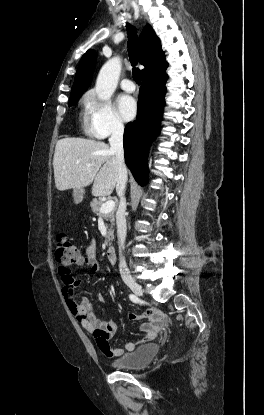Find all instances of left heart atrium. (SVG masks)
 <instances>
[{
  "label": "left heart atrium",
  "instance_id": "39dd6f15",
  "mask_svg": "<svg viewBox=\"0 0 264 415\" xmlns=\"http://www.w3.org/2000/svg\"><path fill=\"white\" fill-rule=\"evenodd\" d=\"M117 107L121 117L129 121L134 118L136 114V102L128 95H121L117 100Z\"/></svg>",
  "mask_w": 264,
  "mask_h": 415
}]
</instances>
